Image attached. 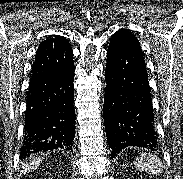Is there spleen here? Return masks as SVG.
Listing matches in <instances>:
<instances>
[{
	"instance_id": "1",
	"label": "spleen",
	"mask_w": 183,
	"mask_h": 179,
	"mask_svg": "<svg viewBox=\"0 0 183 179\" xmlns=\"http://www.w3.org/2000/svg\"><path fill=\"white\" fill-rule=\"evenodd\" d=\"M136 166L144 172L160 175L163 172V164L157 156L152 154H141L136 158Z\"/></svg>"
}]
</instances>
